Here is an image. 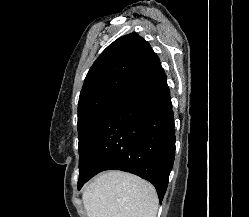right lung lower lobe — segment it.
<instances>
[{
  "instance_id": "98d812e1",
  "label": "right lung lower lobe",
  "mask_w": 249,
  "mask_h": 217,
  "mask_svg": "<svg viewBox=\"0 0 249 217\" xmlns=\"http://www.w3.org/2000/svg\"><path fill=\"white\" fill-rule=\"evenodd\" d=\"M175 156L170 90L161 64L126 91L94 131L79 164L78 189L104 170L151 182L160 202Z\"/></svg>"
}]
</instances>
